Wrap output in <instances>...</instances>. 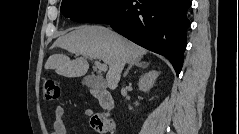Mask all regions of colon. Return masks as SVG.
<instances>
[{
  "mask_svg": "<svg viewBox=\"0 0 239 134\" xmlns=\"http://www.w3.org/2000/svg\"><path fill=\"white\" fill-rule=\"evenodd\" d=\"M43 95L49 101H55L60 97V88L55 80L44 78ZM92 127L101 134H114L116 126L114 121L107 119L101 114L93 115L91 118Z\"/></svg>",
  "mask_w": 239,
  "mask_h": 134,
  "instance_id": "5ec220e1",
  "label": "colon"
}]
</instances>
